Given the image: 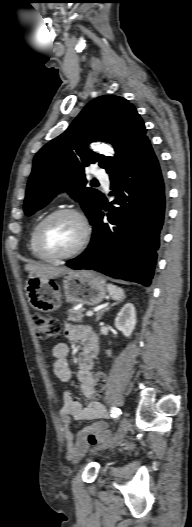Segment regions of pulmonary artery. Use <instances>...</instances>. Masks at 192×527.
<instances>
[{
    "mask_svg": "<svg viewBox=\"0 0 192 527\" xmlns=\"http://www.w3.org/2000/svg\"><path fill=\"white\" fill-rule=\"evenodd\" d=\"M95 178L99 180L105 187V189L108 191L109 189V178L107 174L102 170L95 171Z\"/></svg>",
    "mask_w": 192,
    "mask_h": 527,
    "instance_id": "obj_1",
    "label": "pulmonary artery"
}]
</instances>
